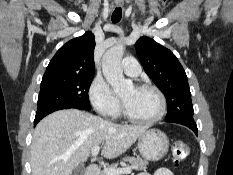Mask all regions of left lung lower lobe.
Here are the masks:
<instances>
[{
  "label": "left lung lower lobe",
  "instance_id": "obj_1",
  "mask_svg": "<svg viewBox=\"0 0 233 175\" xmlns=\"http://www.w3.org/2000/svg\"><path fill=\"white\" fill-rule=\"evenodd\" d=\"M172 122L187 126L188 128H190L197 135V125H196L195 121H180V120H177V121H172Z\"/></svg>",
  "mask_w": 233,
  "mask_h": 175
}]
</instances>
